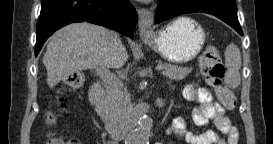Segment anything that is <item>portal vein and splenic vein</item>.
I'll return each mask as SVG.
<instances>
[{"instance_id": "1", "label": "portal vein and splenic vein", "mask_w": 273, "mask_h": 144, "mask_svg": "<svg viewBox=\"0 0 273 144\" xmlns=\"http://www.w3.org/2000/svg\"><path fill=\"white\" fill-rule=\"evenodd\" d=\"M156 70H163V66L158 65ZM97 74L102 79V81L107 83L109 86H123V83L116 76L108 73L106 70H97Z\"/></svg>"}]
</instances>
